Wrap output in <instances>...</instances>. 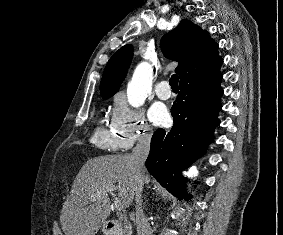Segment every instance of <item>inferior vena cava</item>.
I'll return each instance as SVG.
<instances>
[{
	"label": "inferior vena cava",
	"instance_id": "obj_1",
	"mask_svg": "<svg viewBox=\"0 0 283 235\" xmlns=\"http://www.w3.org/2000/svg\"><path fill=\"white\" fill-rule=\"evenodd\" d=\"M151 133H144L139 136L138 143L132 150L131 159L135 166V202H136V226L137 235H150L151 228L143 213L142 191L144 185L145 161L149 155Z\"/></svg>",
	"mask_w": 283,
	"mask_h": 235
}]
</instances>
